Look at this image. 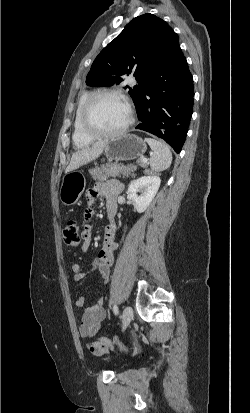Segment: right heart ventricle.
<instances>
[{"label":"right heart ventricle","instance_id":"obj_1","mask_svg":"<svg viewBox=\"0 0 250 413\" xmlns=\"http://www.w3.org/2000/svg\"><path fill=\"white\" fill-rule=\"evenodd\" d=\"M91 95L90 91H84L77 102L74 120H73V132H72V141L75 147L82 148L93 142V138L87 136L81 128V113L83 106L87 98Z\"/></svg>","mask_w":250,"mask_h":413}]
</instances>
